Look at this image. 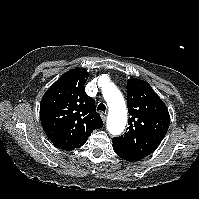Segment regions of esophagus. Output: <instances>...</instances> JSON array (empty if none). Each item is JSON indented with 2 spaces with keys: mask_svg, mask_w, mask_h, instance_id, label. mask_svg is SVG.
Returning <instances> with one entry per match:
<instances>
[{
  "mask_svg": "<svg viewBox=\"0 0 199 199\" xmlns=\"http://www.w3.org/2000/svg\"><path fill=\"white\" fill-rule=\"evenodd\" d=\"M101 118H102L103 122L106 121V115L104 113H101Z\"/></svg>",
  "mask_w": 199,
  "mask_h": 199,
  "instance_id": "esophagus-1",
  "label": "esophagus"
}]
</instances>
